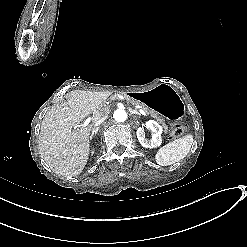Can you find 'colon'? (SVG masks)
Returning a JSON list of instances; mask_svg holds the SVG:
<instances>
[{
	"label": "colon",
	"instance_id": "obj_1",
	"mask_svg": "<svg viewBox=\"0 0 247 247\" xmlns=\"http://www.w3.org/2000/svg\"><path fill=\"white\" fill-rule=\"evenodd\" d=\"M186 130L185 124L183 122H176L171 128V137L173 139L179 138Z\"/></svg>",
	"mask_w": 247,
	"mask_h": 247
}]
</instances>
